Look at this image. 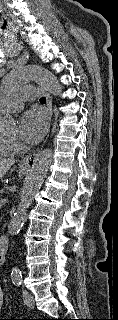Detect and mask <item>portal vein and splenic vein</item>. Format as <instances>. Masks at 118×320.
I'll return each instance as SVG.
<instances>
[{
  "label": "portal vein and splenic vein",
  "instance_id": "18ae733b",
  "mask_svg": "<svg viewBox=\"0 0 118 320\" xmlns=\"http://www.w3.org/2000/svg\"><path fill=\"white\" fill-rule=\"evenodd\" d=\"M3 192H4L3 190H0V194H3Z\"/></svg>",
  "mask_w": 118,
  "mask_h": 320
}]
</instances>
